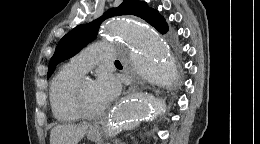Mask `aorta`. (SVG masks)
<instances>
[{"instance_id":"762f6f07","label":"aorta","mask_w":260,"mask_h":144,"mask_svg":"<svg viewBox=\"0 0 260 144\" xmlns=\"http://www.w3.org/2000/svg\"><path fill=\"white\" fill-rule=\"evenodd\" d=\"M104 33L123 46L120 57L143 80L171 85L176 71L169 47L149 24L136 18L113 19L105 24ZM161 101L147 93H138L121 101L112 112L114 128H134L153 119Z\"/></svg>"}]
</instances>
